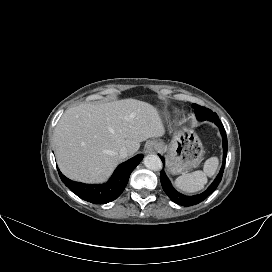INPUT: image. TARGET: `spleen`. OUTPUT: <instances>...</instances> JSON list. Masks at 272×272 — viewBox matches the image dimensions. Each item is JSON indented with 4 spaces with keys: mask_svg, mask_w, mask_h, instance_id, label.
Segmentation results:
<instances>
[{
    "mask_svg": "<svg viewBox=\"0 0 272 272\" xmlns=\"http://www.w3.org/2000/svg\"><path fill=\"white\" fill-rule=\"evenodd\" d=\"M217 167L218 159L211 157L205 161L203 171L198 170L179 176L175 180V186L187 193L197 192L204 188V185L207 183V176H213Z\"/></svg>",
    "mask_w": 272,
    "mask_h": 272,
    "instance_id": "obj_1",
    "label": "spleen"
}]
</instances>
